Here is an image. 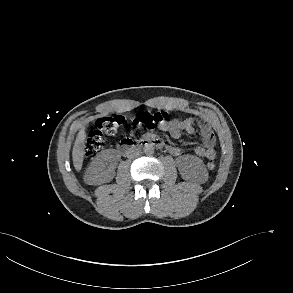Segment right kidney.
I'll list each match as a JSON object with an SVG mask.
<instances>
[{"mask_svg":"<svg viewBox=\"0 0 293 293\" xmlns=\"http://www.w3.org/2000/svg\"><path fill=\"white\" fill-rule=\"evenodd\" d=\"M113 167L107 163V159L102 157H97L88 167L84 181L89 185H100L111 181L114 177Z\"/></svg>","mask_w":293,"mask_h":293,"instance_id":"obj_1","label":"right kidney"}]
</instances>
